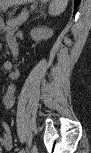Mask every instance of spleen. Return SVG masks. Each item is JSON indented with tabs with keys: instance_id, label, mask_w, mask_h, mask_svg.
Instances as JSON below:
<instances>
[{
	"instance_id": "obj_1",
	"label": "spleen",
	"mask_w": 91,
	"mask_h": 153,
	"mask_svg": "<svg viewBox=\"0 0 91 153\" xmlns=\"http://www.w3.org/2000/svg\"><path fill=\"white\" fill-rule=\"evenodd\" d=\"M67 4V0H52L49 4V14L51 16L60 15L66 9Z\"/></svg>"
}]
</instances>
